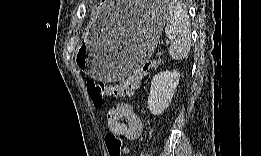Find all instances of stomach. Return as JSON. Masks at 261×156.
<instances>
[{"mask_svg":"<svg viewBox=\"0 0 261 156\" xmlns=\"http://www.w3.org/2000/svg\"><path fill=\"white\" fill-rule=\"evenodd\" d=\"M167 16L165 3L139 1L126 21L105 25L96 17L79 49V67L96 80L127 77L153 54Z\"/></svg>","mask_w":261,"mask_h":156,"instance_id":"stomach-1","label":"stomach"}]
</instances>
